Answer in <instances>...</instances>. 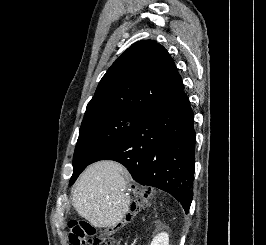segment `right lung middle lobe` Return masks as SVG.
Masks as SVG:
<instances>
[{"label": "right lung middle lobe", "mask_w": 266, "mask_h": 245, "mask_svg": "<svg viewBox=\"0 0 266 245\" xmlns=\"http://www.w3.org/2000/svg\"><path fill=\"white\" fill-rule=\"evenodd\" d=\"M144 115L102 111L85 116L73 157L72 185L79 174L102 152L118 142Z\"/></svg>", "instance_id": "dd1d6c3e"}]
</instances>
